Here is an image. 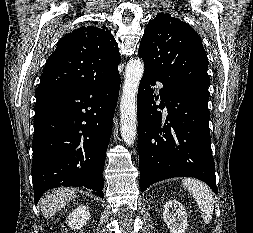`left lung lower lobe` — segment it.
Returning <instances> with one entry per match:
<instances>
[{"instance_id":"1","label":"left lung lower lobe","mask_w":253,"mask_h":233,"mask_svg":"<svg viewBox=\"0 0 253 233\" xmlns=\"http://www.w3.org/2000/svg\"><path fill=\"white\" fill-rule=\"evenodd\" d=\"M160 81L145 70L137 96L140 189L172 177H194L217 194L215 163L211 152L208 88L180 89L163 85L160 98L153 86ZM167 107L165 123L161 111Z\"/></svg>"}]
</instances>
